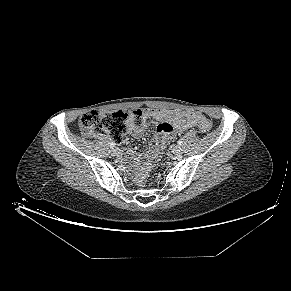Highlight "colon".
Wrapping results in <instances>:
<instances>
[{"instance_id":"obj_1","label":"colon","mask_w":291,"mask_h":291,"mask_svg":"<svg viewBox=\"0 0 291 291\" xmlns=\"http://www.w3.org/2000/svg\"><path fill=\"white\" fill-rule=\"evenodd\" d=\"M143 121L144 115L139 109L113 112L91 110L81 116L79 124L88 136L108 135L113 141L120 143L126 133L139 128ZM211 126L209 119L201 118L199 122L201 132H208ZM147 171L144 170L142 174Z\"/></svg>"}]
</instances>
